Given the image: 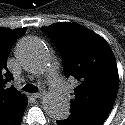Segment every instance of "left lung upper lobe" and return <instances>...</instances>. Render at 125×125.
Instances as JSON below:
<instances>
[{
  "label": "left lung upper lobe",
  "mask_w": 125,
  "mask_h": 125,
  "mask_svg": "<svg viewBox=\"0 0 125 125\" xmlns=\"http://www.w3.org/2000/svg\"><path fill=\"white\" fill-rule=\"evenodd\" d=\"M41 29L57 47L65 76L78 80L71 114L104 122L119 88L116 60L108 43L74 23H56Z\"/></svg>",
  "instance_id": "obj_1"
}]
</instances>
